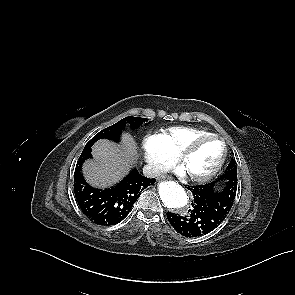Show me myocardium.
<instances>
[{
    "label": "myocardium",
    "instance_id": "1",
    "mask_svg": "<svg viewBox=\"0 0 295 295\" xmlns=\"http://www.w3.org/2000/svg\"><path fill=\"white\" fill-rule=\"evenodd\" d=\"M211 139L219 141L222 145V153H221L220 159L217 162V164L206 174H203V175L188 174L189 178L194 182H199V183L207 182L211 180L213 177H215L219 173V171L222 169L227 157V145L224 139L216 134H211V133L202 135L191 140L178 154V161L183 166L186 159L196 150V148L201 143Z\"/></svg>",
    "mask_w": 295,
    "mask_h": 295
}]
</instances>
